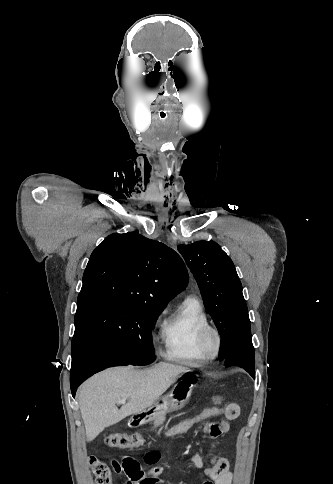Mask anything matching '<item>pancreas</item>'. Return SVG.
I'll return each mask as SVG.
<instances>
[{
	"instance_id": "obj_1",
	"label": "pancreas",
	"mask_w": 333,
	"mask_h": 484,
	"mask_svg": "<svg viewBox=\"0 0 333 484\" xmlns=\"http://www.w3.org/2000/svg\"><path fill=\"white\" fill-rule=\"evenodd\" d=\"M165 420H166V412L158 413L151 418V421H153L154 427H159L165 422Z\"/></svg>"
}]
</instances>
